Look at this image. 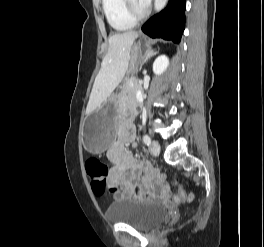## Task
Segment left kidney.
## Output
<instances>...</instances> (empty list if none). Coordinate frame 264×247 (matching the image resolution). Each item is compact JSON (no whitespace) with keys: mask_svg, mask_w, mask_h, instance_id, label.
<instances>
[{"mask_svg":"<svg viewBox=\"0 0 264 247\" xmlns=\"http://www.w3.org/2000/svg\"><path fill=\"white\" fill-rule=\"evenodd\" d=\"M169 65V60L166 55H160L158 56L154 63H153V72L156 75H161L163 72L166 71L167 67Z\"/></svg>","mask_w":264,"mask_h":247,"instance_id":"1","label":"left kidney"}]
</instances>
